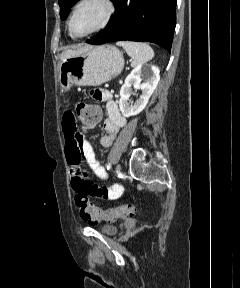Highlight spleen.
Here are the masks:
<instances>
[{
    "mask_svg": "<svg viewBox=\"0 0 240 288\" xmlns=\"http://www.w3.org/2000/svg\"><path fill=\"white\" fill-rule=\"evenodd\" d=\"M116 44L123 47L127 54L132 58V67L140 66L154 57V51L147 43L118 41Z\"/></svg>",
    "mask_w": 240,
    "mask_h": 288,
    "instance_id": "3e777b00",
    "label": "spleen"
}]
</instances>
